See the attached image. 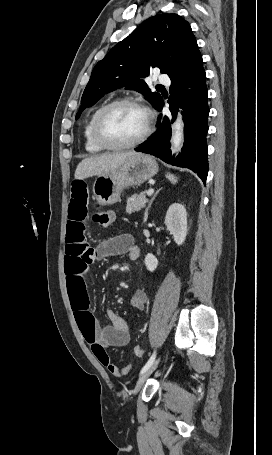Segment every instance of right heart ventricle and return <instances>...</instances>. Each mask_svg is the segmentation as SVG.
Here are the masks:
<instances>
[{
    "mask_svg": "<svg viewBox=\"0 0 272 455\" xmlns=\"http://www.w3.org/2000/svg\"><path fill=\"white\" fill-rule=\"evenodd\" d=\"M98 110H99V108L92 112V114L89 116V118L85 124V127H84V141H85L84 145H85L86 151H88L89 153H100L105 150L94 142V140L92 138V134H91L92 121Z\"/></svg>",
    "mask_w": 272,
    "mask_h": 455,
    "instance_id": "obj_1",
    "label": "right heart ventricle"
}]
</instances>
